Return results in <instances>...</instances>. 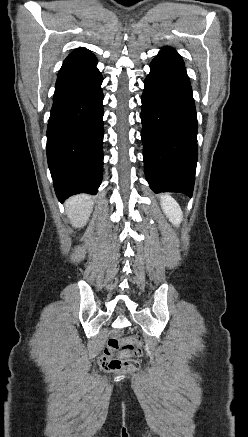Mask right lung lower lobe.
<instances>
[{"instance_id":"obj_1","label":"right lung lower lobe","mask_w":248,"mask_h":437,"mask_svg":"<svg viewBox=\"0 0 248 437\" xmlns=\"http://www.w3.org/2000/svg\"><path fill=\"white\" fill-rule=\"evenodd\" d=\"M94 55L66 58L47 127V159L59 201L96 194L103 175V77Z\"/></svg>"}]
</instances>
